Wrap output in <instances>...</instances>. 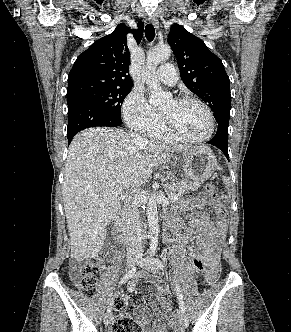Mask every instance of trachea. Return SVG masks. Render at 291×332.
Here are the masks:
<instances>
[{
	"mask_svg": "<svg viewBox=\"0 0 291 332\" xmlns=\"http://www.w3.org/2000/svg\"><path fill=\"white\" fill-rule=\"evenodd\" d=\"M145 36L148 41H152L155 37V29L152 24H147L145 27Z\"/></svg>",
	"mask_w": 291,
	"mask_h": 332,
	"instance_id": "3493384b",
	"label": "trachea"
}]
</instances>
